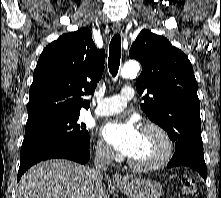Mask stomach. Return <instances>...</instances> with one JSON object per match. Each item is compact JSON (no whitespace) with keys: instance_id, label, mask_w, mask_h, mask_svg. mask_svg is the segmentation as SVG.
<instances>
[{"instance_id":"obj_1","label":"stomach","mask_w":221,"mask_h":198,"mask_svg":"<svg viewBox=\"0 0 221 198\" xmlns=\"http://www.w3.org/2000/svg\"><path fill=\"white\" fill-rule=\"evenodd\" d=\"M116 187L129 198H160L162 186L151 179L129 177L125 183H116Z\"/></svg>"}]
</instances>
